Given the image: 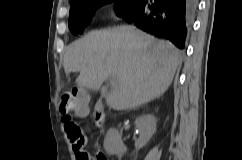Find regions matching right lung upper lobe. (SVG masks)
<instances>
[{"mask_svg": "<svg viewBox=\"0 0 242 160\" xmlns=\"http://www.w3.org/2000/svg\"><path fill=\"white\" fill-rule=\"evenodd\" d=\"M78 1H81V0H71V4L78 2Z\"/></svg>", "mask_w": 242, "mask_h": 160, "instance_id": "cb5924a9", "label": "right lung upper lobe"}]
</instances>
